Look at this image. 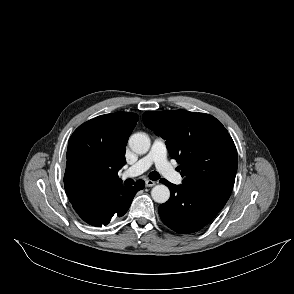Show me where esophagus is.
<instances>
[{
    "label": "esophagus",
    "instance_id": "obj_1",
    "mask_svg": "<svg viewBox=\"0 0 294 294\" xmlns=\"http://www.w3.org/2000/svg\"><path fill=\"white\" fill-rule=\"evenodd\" d=\"M155 184H156V182L153 181V180H149V179H147V180L145 181V185H146V187H152V186H154Z\"/></svg>",
    "mask_w": 294,
    "mask_h": 294
}]
</instances>
